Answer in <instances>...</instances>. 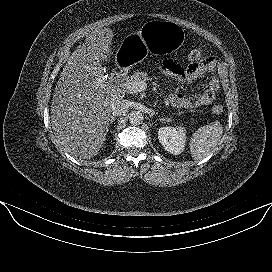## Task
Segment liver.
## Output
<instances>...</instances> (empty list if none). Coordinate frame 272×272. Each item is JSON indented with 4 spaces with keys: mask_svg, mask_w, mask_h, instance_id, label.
Segmentation results:
<instances>
[{
    "mask_svg": "<svg viewBox=\"0 0 272 272\" xmlns=\"http://www.w3.org/2000/svg\"><path fill=\"white\" fill-rule=\"evenodd\" d=\"M110 28L91 32L68 58L51 103V123L57 143L69 154L90 159L103 146L111 104L125 91L105 78L102 60L111 54Z\"/></svg>",
    "mask_w": 272,
    "mask_h": 272,
    "instance_id": "liver-1",
    "label": "liver"
}]
</instances>
